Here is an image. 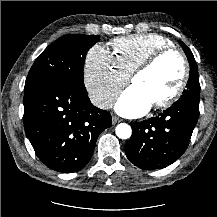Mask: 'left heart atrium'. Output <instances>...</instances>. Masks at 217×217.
I'll list each match as a JSON object with an SVG mask.
<instances>
[{
  "label": "left heart atrium",
  "mask_w": 217,
  "mask_h": 217,
  "mask_svg": "<svg viewBox=\"0 0 217 217\" xmlns=\"http://www.w3.org/2000/svg\"><path fill=\"white\" fill-rule=\"evenodd\" d=\"M151 105V101L139 88L131 85L118 97L115 103V109L121 115L138 117L145 114Z\"/></svg>",
  "instance_id": "39dd6f15"
}]
</instances>
